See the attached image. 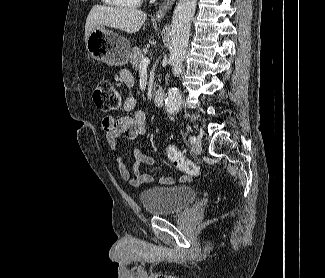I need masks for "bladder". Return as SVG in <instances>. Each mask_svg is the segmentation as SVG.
<instances>
[{"label": "bladder", "instance_id": "bladder-1", "mask_svg": "<svg viewBox=\"0 0 325 278\" xmlns=\"http://www.w3.org/2000/svg\"><path fill=\"white\" fill-rule=\"evenodd\" d=\"M197 198L196 190L188 185L151 187L140 194V201L150 216H166L182 212Z\"/></svg>", "mask_w": 325, "mask_h": 278}]
</instances>
